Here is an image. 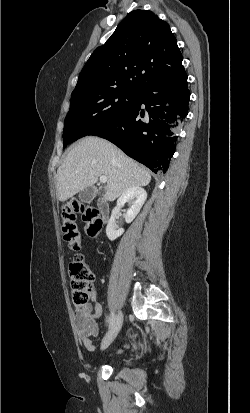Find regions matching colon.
<instances>
[{"mask_svg": "<svg viewBox=\"0 0 250 413\" xmlns=\"http://www.w3.org/2000/svg\"><path fill=\"white\" fill-rule=\"evenodd\" d=\"M77 214L82 215L84 231L89 238H96L102 229V221L95 208L77 199L67 202L62 208V230L69 249L75 253L80 250L81 243V234L76 222ZM69 272L73 303L77 308H84L89 305L93 274L80 256L71 262Z\"/></svg>", "mask_w": 250, "mask_h": 413, "instance_id": "5ec220e1", "label": "colon"}]
</instances>
